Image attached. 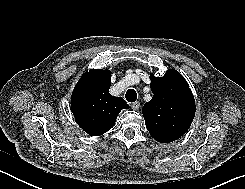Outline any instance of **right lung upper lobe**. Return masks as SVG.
Listing matches in <instances>:
<instances>
[{
    "instance_id": "1",
    "label": "right lung upper lobe",
    "mask_w": 245,
    "mask_h": 189,
    "mask_svg": "<svg viewBox=\"0 0 245 189\" xmlns=\"http://www.w3.org/2000/svg\"><path fill=\"white\" fill-rule=\"evenodd\" d=\"M111 72L90 69L82 75L71 96V109L78 125L92 136H100L115 124L122 109L129 105L109 93Z\"/></svg>"
}]
</instances>
